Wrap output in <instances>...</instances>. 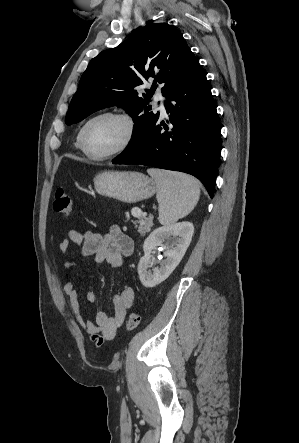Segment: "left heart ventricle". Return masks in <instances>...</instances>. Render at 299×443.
<instances>
[{
  "label": "left heart ventricle",
  "instance_id": "obj_1",
  "mask_svg": "<svg viewBox=\"0 0 299 443\" xmlns=\"http://www.w3.org/2000/svg\"><path fill=\"white\" fill-rule=\"evenodd\" d=\"M126 135L125 124L113 117L93 121L86 131V146L93 154H105L117 148Z\"/></svg>",
  "mask_w": 299,
  "mask_h": 443
}]
</instances>
